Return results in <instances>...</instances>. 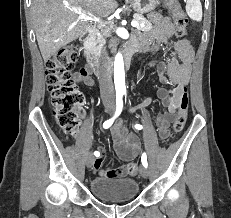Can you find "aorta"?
<instances>
[{"instance_id":"obj_1","label":"aorta","mask_w":231,"mask_h":218,"mask_svg":"<svg viewBox=\"0 0 231 218\" xmlns=\"http://www.w3.org/2000/svg\"><path fill=\"white\" fill-rule=\"evenodd\" d=\"M114 83L116 91H125L124 60L121 53H117L114 60Z\"/></svg>"}]
</instances>
